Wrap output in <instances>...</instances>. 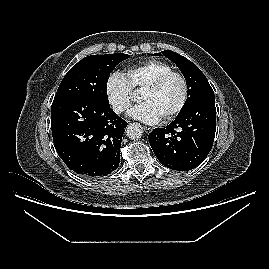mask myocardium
Instances as JSON below:
<instances>
[{"label": "myocardium", "mask_w": 269, "mask_h": 269, "mask_svg": "<svg viewBox=\"0 0 269 269\" xmlns=\"http://www.w3.org/2000/svg\"><path fill=\"white\" fill-rule=\"evenodd\" d=\"M174 76L180 78V80L182 81L183 96L179 104L166 116L161 118L163 122H167L176 117L179 113L182 112V110L186 106L190 94V86L187 77L182 72L172 70L170 72L162 74L161 76L156 78L153 82H151L150 84H148L146 87L143 88V91L155 92L159 90L167 82V80H169L171 77Z\"/></svg>", "instance_id": "1"}]
</instances>
